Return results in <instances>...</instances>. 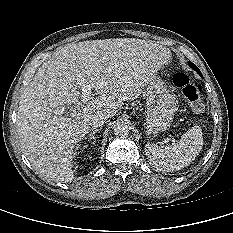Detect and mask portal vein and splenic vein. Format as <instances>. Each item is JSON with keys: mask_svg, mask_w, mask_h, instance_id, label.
<instances>
[{"mask_svg": "<svg viewBox=\"0 0 233 233\" xmlns=\"http://www.w3.org/2000/svg\"><path fill=\"white\" fill-rule=\"evenodd\" d=\"M78 84L81 86V89H82L81 101L83 103H86L87 101L91 99V92L95 86L94 84H90L89 82H87L84 78H79ZM66 112L67 110L65 108H62L57 111V113H60V114H64Z\"/></svg>", "mask_w": 233, "mask_h": 233, "instance_id": "portal-vein-and-splenic-vein-1", "label": "portal vein and splenic vein"}]
</instances>
